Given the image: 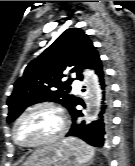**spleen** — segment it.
<instances>
[{"label":"spleen","mask_w":135,"mask_h":166,"mask_svg":"<svg viewBox=\"0 0 135 166\" xmlns=\"http://www.w3.org/2000/svg\"><path fill=\"white\" fill-rule=\"evenodd\" d=\"M75 154L76 164L81 165L90 161L94 156V148L77 138H66L63 140ZM77 165V166H78Z\"/></svg>","instance_id":"spleen-1"}]
</instances>
